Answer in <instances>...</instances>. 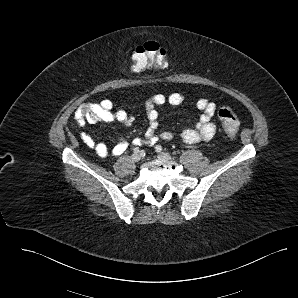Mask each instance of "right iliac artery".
Wrapping results in <instances>:
<instances>
[{"instance_id": "82829eb1", "label": "right iliac artery", "mask_w": 298, "mask_h": 298, "mask_svg": "<svg viewBox=\"0 0 298 298\" xmlns=\"http://www.w3.org/2000/svg\"><path fill=\"white\" fill-rule=\"evenodd\" d=\"M134 153H139V148L138 147L134 148Z\"/></svg>"}]
</instances>
